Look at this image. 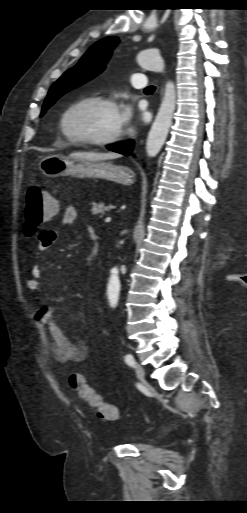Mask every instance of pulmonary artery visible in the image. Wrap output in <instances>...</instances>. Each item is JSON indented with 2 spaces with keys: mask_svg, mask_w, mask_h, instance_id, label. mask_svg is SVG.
Listing matches in <instances>:
<instances>
[{
  "mask_svg": "<svg viewBox=\"0 0 247 513\" xmlns=\"http://www.w3.org/2000/svg\"><path fill=\"white\" fill-rule=\"evenodd\" d=\"M132 85L135 88L141 89L147 86L146 76L142 73H133L131 76Z\"/></svg>",
  "mask_w": 247,
  "mask_h": 513,
  "instance_id": "1",
  "label": "pulmonary artery"
}]
</instances>
